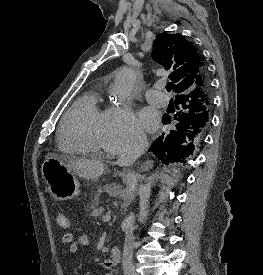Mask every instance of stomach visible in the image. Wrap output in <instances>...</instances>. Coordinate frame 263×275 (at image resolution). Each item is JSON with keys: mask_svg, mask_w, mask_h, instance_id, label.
<instances>
[{"mask_svg": "<svg viewBox=\"0 0 263 275\" xmlns=\"http://www.w3.org/2000/svg\"><path fill=\"white\" fill-rule=\"evenodd\" d=\"M41 171L54 199L70 200L80 194L78 179L61 160L51 156L47 157L42 164Z\"/></svg>", "mask_w": 263, "mask_h": 275, "instance_id": "0dacf381", "label": "stomach"}]
</instances>
